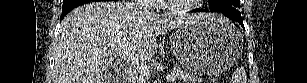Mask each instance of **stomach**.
Returning a JSON list of instances; mask_svg holds the SVG:
<instances>
[{
	"instance_id": "obj_1",
	"label": "stomach",
	"mask_w": 307,
	"mask_h": 83,
	"mask_svg": "<svg viewBox=\"0 0 307 83\" xmlns=\"http://www.w3.org/2000/svg\"><path fill=\"white\" fill-rule=\"evenodd\" d=\"M171 48L184 68L212 76L227 70L239 59L243 38L228 21H199L175 31L171 36Z\"/></svg>"
}]
</instances>
